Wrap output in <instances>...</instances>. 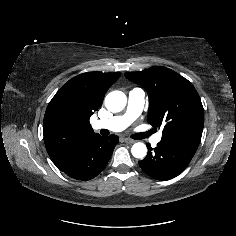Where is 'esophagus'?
Masks as SVG:
<instances>
[{"instance_id": "obj_1", "label": "esophagus", "mask_w": 236, "mask_h": 236, "mask_svg": "<svg viewBox=\"0 0 236 236\" xmlns=\"http://www.w3.org/2000/svg\"><path fill=\"white\" fill-rule=\"evenodd\" d=\"M123 141L126 142V143H128V144H133V143H135V140H132V139H130V138H123Z\"/></svg>"}]
</instances>
